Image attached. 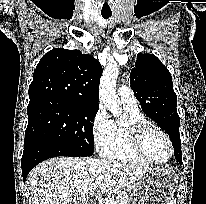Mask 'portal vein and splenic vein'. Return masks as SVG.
I'll use <instances>...</instances> for the list:
<instances>
[{
	"instance_id": "1",
	"label": "portal vein and splenic vein",
	"mask_w": 206,
	"mask_h": 204,
	"mask_svg": "<svg viewBox=\"0 0 206 204\" xmlns=\"http://www.w3.org/2000/svg\"><path fill=\"white\" fill-rule=\"evenodd\" d=\"M103 176H99V177H97L96 178V181H95V184H93L92 186H90L89 187V190H94V189H96L97 188V186L98 185H100V183L102 182V180H103ZM108 202H109V204H115L113 201H111V200H108Z\"/></svg>"
}]
</instances>
